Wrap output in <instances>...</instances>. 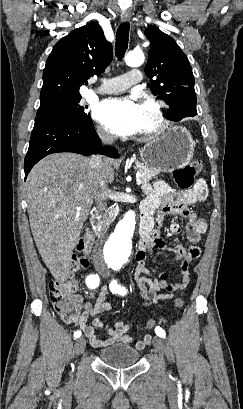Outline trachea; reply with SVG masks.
Segmentation results:
<instances>
[{
  "label": "trachea",
  "mask_w": 243,
  "mask_h": 409,
  "mask_svg": "<svg viewBox=\"0 0 243 409\" xmlns=\"http://www.w3.org/2000/svg\"><path fill=\"white\" fill-rule=\"evenodd\" d=\"M129 30H130V25L128 22L121 23L117 29L115 54L119 60H121L124 57V54L127 50Z\"/></svg>",
  "instance_id": "1"
}]
</instances>
